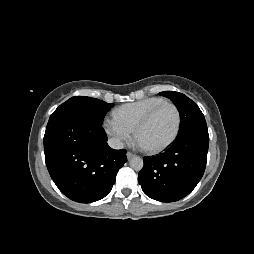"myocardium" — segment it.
Instances as JSON below:
<instances>
[{"label":"myocardium","mask_w":254,"mask_h":254,"mask_svg":"<svg viewBox=\"0 0 254 254\" xmlns=\"http://www.w3.org/2000/svg\"><path fill=\"white\" fill-rule=\"evenodd\" d=\"M165 105H170L174 108V110L176 112V126H175L172 136L162 145H160L158 147H153V148L144 147L145 150L151 154L160 153V152L166 150L177 139L179 131H180V127H181V114H180V110H179L178 106L175 103H173L172 101L166 100V101L158 104L157 106H155L152 110H150L140 120V122L135 127V136L138 138L140 131L152 120V118L156 115V113Z\"/></svg>","instance_id":"myocardium-1"}]
</instances>
